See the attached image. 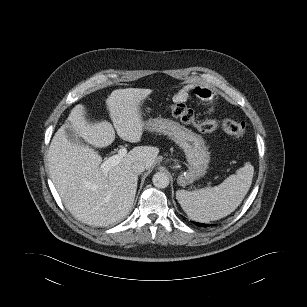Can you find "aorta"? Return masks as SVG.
<instances>
[{
    "mask_svg": "<svg viewBox=\"0 0 307 307\" xmlns=\"http://www.w3.org/2000/svg\"><path fill=\"white\" fill-rule=\"evenodd\" d=\"M152 182L157 188H166L170 183V179L165 172H157L153 175Z\"/></svg>",
    "mask_w": 307,
    "mask_h": 307,
    "instance_id": "762f6f07",
    "label": "aorta"
}]
</instances>
